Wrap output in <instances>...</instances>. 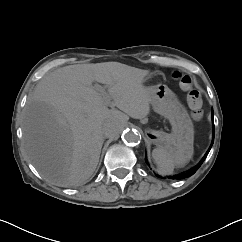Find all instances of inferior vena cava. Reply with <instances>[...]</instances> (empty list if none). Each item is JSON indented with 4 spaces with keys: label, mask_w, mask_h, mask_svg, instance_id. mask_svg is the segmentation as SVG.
<instances>
[{
    "label": "inferior vena cava",
    "mask_w": 242,
    "mask_h": 242,
    "mask_svg": "<svg viewBox=\"0 0 242 242\" xmlns=\"http://www.w3.org/2000/svg\"><path fill=\"white\" fill-rule=\"evenodd\" d=\"M121 127V122L117 118H112L107 125L103 128V134L107 138H112Z\"/></svg>",
    "instance_id": "1"
}]
</instances>
